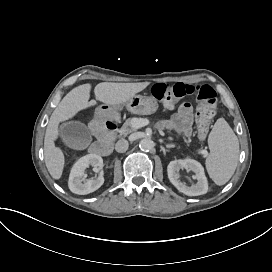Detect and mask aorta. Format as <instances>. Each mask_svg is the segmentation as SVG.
I'll return each instance as SVG.
<instances>
[{
    "mask_svg": "<svg viewBox=\"0 0 272 272\" xmlns=\"http://www.w3.org/2000/svg\"><path fill=\"white\" fill-rule=\"evenodd\" d=\"M139 145H140V149L142 151H149L154 147L153 141L151 139H149V138L142 139L140 141Z\"/></svg>",
    "mask_w": 272,
    "mask_h": 272,
    "instance_id": "aorta-1",
    "label": "aorta"
}]
</instances>
